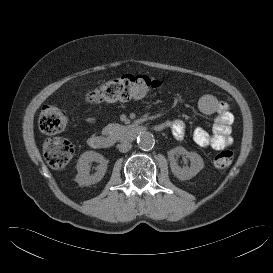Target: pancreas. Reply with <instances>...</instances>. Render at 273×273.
<instances>
[{
	"instance_id": "obj_1",
	"label": "pancreas",
	"mask_w": 273,
	"mask_h": 273,
	"mask_svg": "<svg viewBox=\"0 0 273 273\" xmlns=\"http://www.w3.org/2000/svg\"><path fill=\"white\" fill-rule=\"evenodd\" d=\"M126 130V126L120 125L118 123H111L103 128L102 134L107 135L112 139H120Z\"/></svg>"
}]
</instances>
